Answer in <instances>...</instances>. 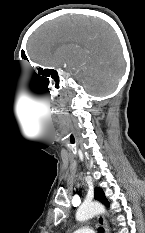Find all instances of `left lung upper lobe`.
I'll return each instance as SVG.
<instances>
[{"mask_svg": "<svg viewBox=\"0 0 145 233\" xmlns=\"http://www.w3.org/2000/svg\"><path fill=\"white\" fill-rule=\"evenodd\" d=\"M95 198L102 202L104 205H106L107 207L109 206V202L107 201V199L105 198L104 192L102 189L100 188H95Z\"/></svg>", "mask_w": 145, "mask_h": 233, "instance_id": "5c2ea615", "label": "left lung upper lobe"}]
</instances>
